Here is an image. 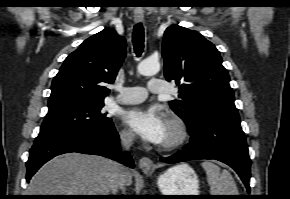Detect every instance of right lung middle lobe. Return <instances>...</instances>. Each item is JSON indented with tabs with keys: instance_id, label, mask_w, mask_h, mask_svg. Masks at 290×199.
<instances>
[{
	"instance_id": "1",
	"label": "right lung middle lobe",
	"mask_w": 290,
	"mask_h": 199,
	"mask_svg": "<svg viewBox=\"0 0 290 199\" xmlns=\"http://www.w3.org/2000/svg\"><path fill=\"white\" fill-rule=\"evenodd\" d=\"M104 102L86 104L48 113L40 132L68 130L79 127L106 126L112 120L102 112Z\"/></svg>"
}]
</instances>
